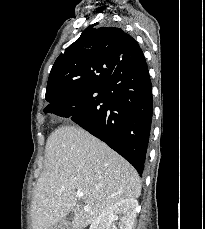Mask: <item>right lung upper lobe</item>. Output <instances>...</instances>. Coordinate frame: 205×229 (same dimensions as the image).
I'll use <instances>...</instances> for the list:
<instances>
[{"label":"right lung upper lobe","mask_w":205,"mask_h":229,"mask_svg":"<svg viewBox=\"0 0 205 229\" xmlns=\"http://www.w3.org/2000/svg\"><path fill=\"white\" fill-rule=\"evenodd\" d=\"M81 34L55 61L49 75L46 100L68 98L93 85L97 76L111 75L121 60L133 61L142 53L129 34L116 27H95Z\"/></svg>","instance_id":"right-lung-upper-lobe-1"}]
</instances>
